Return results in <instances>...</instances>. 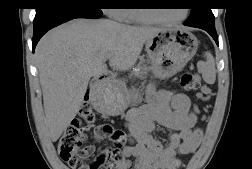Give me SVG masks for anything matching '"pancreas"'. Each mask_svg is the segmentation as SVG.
Returning a JSON list of instances; mask_svg holds the SVG:
<instances>
[{
	"instance_id": "1",
	"label": "pancreas",
	"mask_w": 252,
	"mask_h": 169,
	"mask_svg": "<svg viewBox=\"0 0 252 169\" xmlns=\"http://www.w3.org/2000/svg\"><path fill=\"white\" fill-rule=\"evenodd\" d=\"M145 74H146V71H143V72H141L140 74H138L137 76L142 77V76H144Z\"/></svg>"
}]
</instances>
